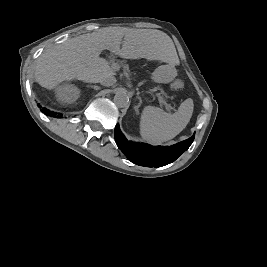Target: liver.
I'll return each mask as SVG.
<instances>
[{"label":"liver","mask_w":267,"mask_h":267,"mask_svg":"<svg viewBox=\"0 0 267 267\" xmlns=\"http://www.w3.org/2000/svg\"><path fill=\"white\" fill-rule=\"evenodd\" d=\"M104 50L125 59L145 58L172 67L179 64L175 46L167 34L154 29L119 28L67 38L46 49L33 65L35 80L53 90L64 81L96 83L105 74L114 76L115 70L99 57Z\"/></svg>","instance_id":"1"}]
</instances>
